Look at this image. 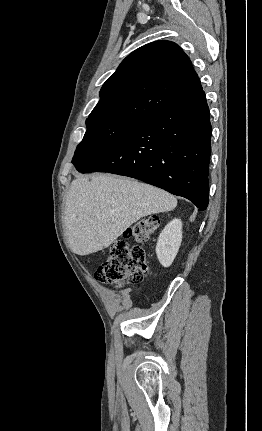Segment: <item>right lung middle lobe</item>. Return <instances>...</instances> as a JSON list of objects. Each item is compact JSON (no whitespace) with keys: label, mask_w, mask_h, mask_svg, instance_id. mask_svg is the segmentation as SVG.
I'll list each match as a JSON object with an SVG mask.
<instances>
[{"label":"right lung middle lobe","mask_w":262,"mask_h":431,"mask_svg":"<svg viewBox=\"0 0 262 431\" xmlns=\"http://www.w3.org/2000/svg\"><path fill=\"white\" fill-rule=\"evenodd\" d=\"M136 122H107L87 124L83 140L77 146L72 163L79 172L87 169L115 143H117Z\"/></svg>","instance_id":"right-lung-middle-lobe-1"}]
</instances>
